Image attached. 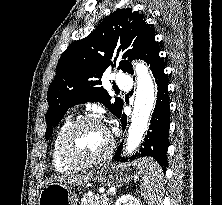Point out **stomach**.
Masks as SVG:
<instances>
[{
  "label": "stomach",
  "instance_id": "0dacf381",
  "mask_svg": "<svg viewBox=\"0 0 222 205\" xmlns=\"http://www.w3.org/2000/svg\"><path fill=\"white\" fill-rule=\"evenodd\" d=\"M138 161L128 164L105 165L95 173V178L103 186L121 187L139 176ZM67 184L53 182L43 188L39 205H77L78 199Z\"/></svg>",
  "mask_w": 222,
  "mask_h": 205
}]
</instances>
